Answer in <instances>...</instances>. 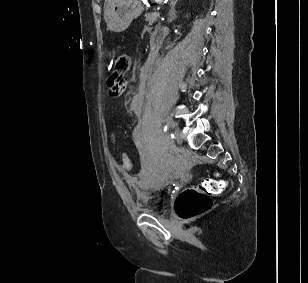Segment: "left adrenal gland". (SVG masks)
Instances as JSON below:
<instances>
[{
  "instance_id": "1",
  "label": "left adrenal gland",
  "mask_w": 308,
  "mask_h": 283,
  "mask_svg": "<svg viewBox=\"0 0 308 283\" xmlns=\"http://www.w3.org/2000/svg\"><path fill=\"white\" fill-rule=\"evenodd\" d=\"M178 0H171L170 2V11H169V17H168V22H172L173 20L176 19V13H175V5Z\"/></svg>"
}]
</instances>
